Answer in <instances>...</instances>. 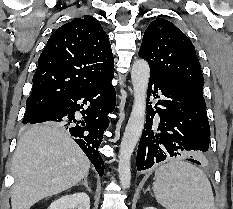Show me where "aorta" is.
<instances>
[{
  "label": "aorta",
  "instance_id": "aorta-1",
  "mask_svg": "<svg viewBox=\"0 0 233 209\" xmlns=\"http://www.w3.org/2000/svg\"><path fill=\"white\" fill-rule=\"evenodd\" d=\"M149 77L150 68L147 61L143 59L134 61L131 70L134 101L131 115L120 144L118 161L119 180L124 189H128L131 185V155L141 137L145 124Z\"/></svg>",
  "mask_w": 233,
  "mask_h": 209
}]
</instances>
